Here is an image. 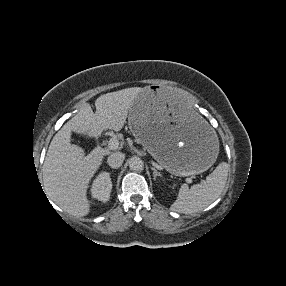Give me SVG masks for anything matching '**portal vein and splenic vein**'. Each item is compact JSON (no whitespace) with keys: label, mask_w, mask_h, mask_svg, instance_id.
I'll list each match as a JSON object with an SVG mask.
<instances>
[{"label":"portal vein and splenic vein","mask_w":286,"mask_h":286,"mask_svg":"<svg viewBox=\"0 0 286 286\" xmlns=\"http://www.w3.org/2000/svg\"><path fill=\"white\" fill-rule=\"evenodd\" d=\"M119 147V141L117 139H111L109 142H108V148L110 150H115ZM186 181L188 183H192V179L191 178H187Z\"/></svg>","instance_id":"obj_1"}]
</instances>
